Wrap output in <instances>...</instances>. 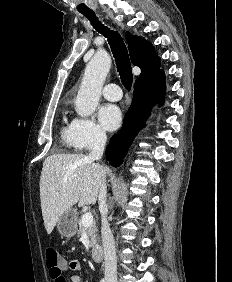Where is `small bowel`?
<instances>
[{"label": "small bowel", "instance_id": "1", "mask_svg": "<svg viewBox=\"0 0 232 282\" xmlns=\"http://www.w3.org/2000/svg\"><path fill=\"white\" fill-rule=\"evenodd\" d=\"M73 270V271H82L83 267L82 264L78 260H70L64 261L63 263V270ZM51 276V275H50ZM54 282H66V279L62 274L58 277L51 276ZM70 282H83V277L79 274H73L70 277Z\"/></svg>", "mask_w": 232, "mask_h": 282}]
</instances>
